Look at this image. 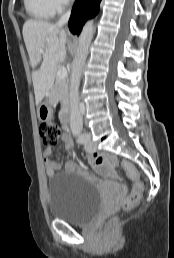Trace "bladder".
<instances>
[{"label": "bladder", "mask_w": 174, "mask_h": 258, "mask_svg": "<svg viewBox=\"0 0 174 258\" xmlns=\"http://www.w3.org/2000/svg\"><path fill=\"white\" fill-rule=\"evenodd\" d=\"M102 197L86 176L62 172L52 176L48 186V211L51 216L82 225L98 216Z\"/></svg>", "instance_id": "31cf9c89"}]
</instances>
